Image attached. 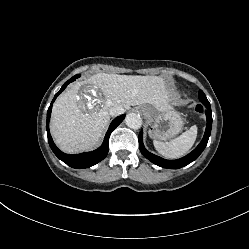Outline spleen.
Wrapping results in <instances>:
<instances>
[{
	"mask_svg": "<svg viewBox=\"0 0 249 249\" xmlns=\"http://www.w3.org/2000/svg\"><path fill=\"white\" fill-rule=\"evenodd\" d=\"M197 138V126H192L179 137L170 142L154 140V147L159 154L167 159H177L184 156L192 148Z\"/></svg>",
	"mask_w": 249,
	"mask_h": 249,
	"instance_id": "3e777b00",
	"label": "spleen"
}]
</instances>
